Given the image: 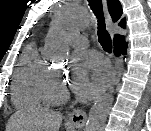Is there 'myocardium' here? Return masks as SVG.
<instances>
[{"instance_id": "1", "label": "myocardium", "mask_w": 151, "mask_h": 131, "mask_svg": "<svg viewBox=\"0 0 151 131\" xmlns=\"http://www.w3.org/2000/svg\"><path fill=\"white\" fill-rule=\"evenodd\" d=\"M43 97L46 102L60 103L68 98V92L55 70H50L42 85Z\"/></svg>"}]
</instances>
